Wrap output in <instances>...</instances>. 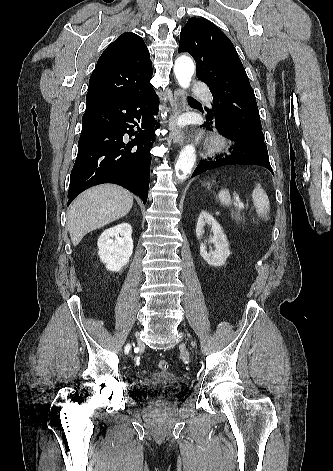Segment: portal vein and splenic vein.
I'll use <instances>...</instances> for the list:
<instances>
[{
	"mask_svg": "<svg viewBox=\"0 0 333 471\" xmlns=\"http://www.w3.org/2000/svg\"><path fill=\"white\" fill-rule=\"evenodd\" d=\"M235 205L238 207V208H244V204L240 201L239 197L236 195L235 197Z\"/></svg>",
	"mask_w": 333,
	"mask_h": 471,
	"instance_id": "obj_1",
	"label": "portal vein and splenic vein"
}]
</instances>
